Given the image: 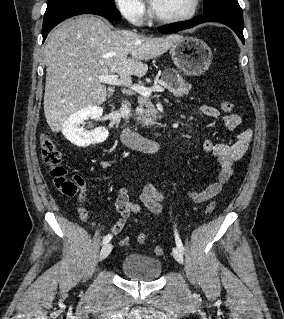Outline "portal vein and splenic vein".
<instances>
[{
	"instance_id": "18ae733b",
	"label": "portal vein and splenic vein",
	"mask_w": 284,
	"mask_h": 319,
	"mask_svg": "<svg viewBox=\"0 0 284 319\" xmlns=\"http://www.w3.org/2000/svg\"><path fill=\"white\" fill-rule=\"evenodd\" d=\"M99 81L101 83L109 84V85H114V86H120L123 83L118 79L117 75H101L98 77ZM131 89L136 91L142 96L149 97L152 92H163L164 88L161 86H153L151 88L145 87L143 85H132Z\"/></svg>"
}]
</instances>
